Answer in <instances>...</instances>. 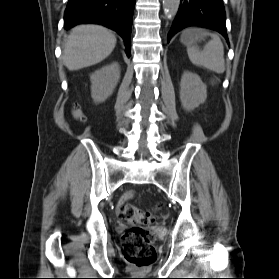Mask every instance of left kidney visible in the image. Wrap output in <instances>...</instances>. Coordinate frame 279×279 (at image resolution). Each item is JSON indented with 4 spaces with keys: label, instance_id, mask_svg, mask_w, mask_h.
Masks as SVG:
<instances>
[{
    "label": "left kidney",
    "instance_id": "left-kidney-1",
    "mask_svg": "<svg viewBox=\"0 0 279 279\" xmlns=\"http://www.w3.org/2000/svg\"><path fill=\"white\" fill-rule=\"evenodd\" d=\"M207 98V88L200 77L185 71L181 77L180 100L186 111L194 110Z\"/></svg>",
    "mask_w": 279,
    "mask_h": 279
}]
</instances>
